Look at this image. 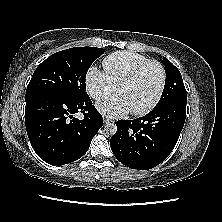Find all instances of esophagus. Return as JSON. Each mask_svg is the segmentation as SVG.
Returning <instances> with one entry per match:
<instances>
[{
    "mask_svg": "<svg viewBox=\"0 0 222 222\" xmlns=\"http://www.w3.org/2000/svg\"><path fill=\"white\" fill-rule=\"evenodd\" d=\"M110 122H113L112 120L108 119V118H104V123L107 124V123H110Z\"/></svg>",
    "mask_w": 222,
    "mask_h": 222,
    "instance_id": "1",
    "label": "esophagus"
}]
</instances>
